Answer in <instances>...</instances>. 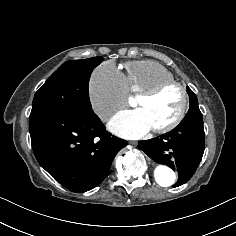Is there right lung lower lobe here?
<instances>
[{
	"label": "right lung lower lobe",
	"instance_id": "obj_1",
	"mask_svg": "<svg viewBox=\"0 0 236 236\" xmlns=\"http://www.w3.org/2000/svg\"><path fill=\"white\" fill-rule=\"evenodd\" d=\"M29 131L39 164L61 185L78 193L98 186L109 175L115 155L127 145L105 133L91 110H65L33 118Z\"/></svg>",
	"mask_w": 236,
	"mask_h": 236
}]
</instances>
